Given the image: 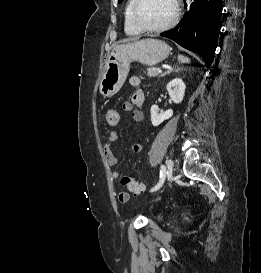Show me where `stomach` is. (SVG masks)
I'll return each instance as SVG.
<instances>
[{
	"label": "stomach",
	"instance_id": "0dacf381",
	"mask_svg": "<svg viewBox=\"0 0 261 273\" xmlns=\"http://www.w3.org/2000/svg\"><path fill=\"white\" fill-rule=\"evenodd\" d=\"M171 48L157 39H142L115 47L105 63V72L99 84V92L105 97L116 94L129 72L130 63L137 61L154 66L168 57Z\"/></svg>",
	"mask_w": 261,
	"mask_h": 273
}]
</instances>
